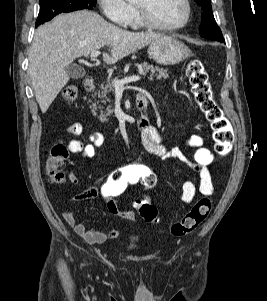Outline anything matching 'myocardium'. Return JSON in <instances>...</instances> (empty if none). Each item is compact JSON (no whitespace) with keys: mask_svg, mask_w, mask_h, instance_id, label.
I'll list each match as a JSON object with an SVG mask.
<instances>
[{"mask_svg":"<svg viewBox=\"0 0 267 301\" xmlns=\"http://www.w3.org/2000/svg\"><path fill=\"white\" fill-rule=\"evenodd\" d=\"M183 2L185 4V8H186L185 17L180 23L175 24V25L160 24L150 16V14L148 13V11L145 8L138 7V6H134V7H135V11L137 13L140 23L144 27H147V28L153 29V30H157V31L169 32V31H176V30H180V29L184 28L191 19V15H192L191 3L189 0H183Z\"/></svg>","mask_w":267,"mask_h":301,"instance_id":"1","label":"myocardium"}]
</instances>
